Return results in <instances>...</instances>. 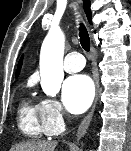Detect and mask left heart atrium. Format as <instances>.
<instances>
[{
	"label": "left heart atrium",
	"instance_id": "obj_1",
	"mask_svg": "<svg viewBox=\"0 0 131 151\" xmlns=\"http://www.w3.org/2000/svg\"><path fill=\"white\" fill-rule=\"evenodd\" d=\"M94 96V84L91 78L84 74L67 78L62 87V98L66 109L79 114L85 111Z\"/></svg>",
	"mask_w": 131,
	"mask_h": 151
}]
</instances>
